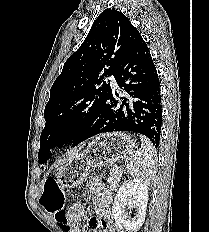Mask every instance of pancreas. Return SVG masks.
<instances>
[{"label": "pancreas", "instance_id": "cf45deb5", "mask_svg": "<svg viewBox=\"0 0 209 232\" xmlns=\"http://www.w3.org/2000/svg\"><path fill=\"white\" fill-rule=\"evenodd\" d=\"M122 170L118 167H114L110 170V174L108 176V183L110 184L111 189H116L119 185V181L122 177Z\"/></svg>", "mask_w": 209, "mask_h": 232}]
</instances>
